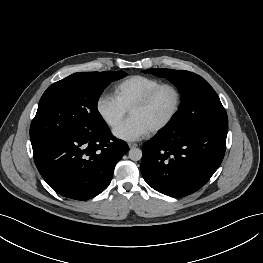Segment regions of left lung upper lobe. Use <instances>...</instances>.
I'll list each match as a JSON object with an SVG mask.
<instances>
[{"label": "left lung upper lobe", "instance_id": "1", "mask_svg": "<svg viewBox=\"0 0 263 263\" xmlns=\"http://www.w3.org/2000/svg\"><path fill=\"white\" fill-rule=\"evenodd\" d=\"M144 72L166 77L182 95L179 111L165 129L189 133L206 127L228 125L227 113L218 95L199 75L173 69H147Z\"/></svg>", "mask_w": 263, "mask_h": 263}]
</instances>
